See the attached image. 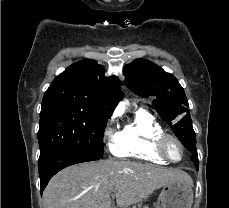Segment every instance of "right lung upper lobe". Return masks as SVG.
<instances>
[{
  "label": "right lung upper lobe",
  "mask_w": 229,
  "mask_h": 208,
  "mask_svg": "<svg viewBox=\"0 0 229 208\" xmlns=\"http://www.w3.org/2000/svg\"><path fill=\"white\" fill-rule=\"evenodd\" d=\"M121 85L123 83L117 77H105L102 66L96 61L82 60L54 79L44 94L42 104H72L91 115L108 119L123 98Z\"/></svg>",
  "instance_id": "1"
}]
</instances>
